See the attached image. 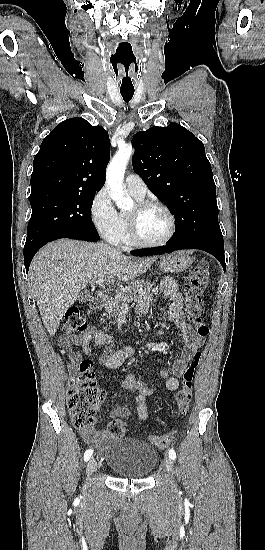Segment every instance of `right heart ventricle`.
<instances>
[{
	"instance_id": "e07e8e85",
	"label": "right heart ventricle",
	"mask_w": 265,
	"mask_h": 550,
	"mask_svg": "<svg viewBox=\"0 0 265 550\" xmlns=\"http://www.w3.org/2000/svg\"><path fill=\"white\" fill-rule=\"evenodd\" d=\"M131 194V193H130ZM134 198H136L138 201H142L143 198L137 197L133 194H131ZM120 218V231L116 239L113 241L116 244L123 245L125 247L132 246V241L129 234V222H128V213L127 212H120L119 213Z\"/></svg>"
}]
</instances>
